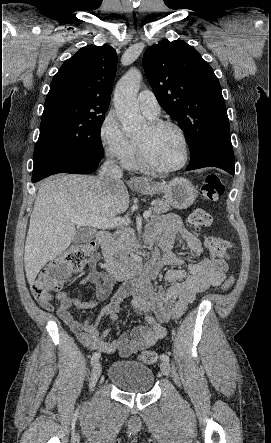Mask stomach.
I'll use <instances>...</instances> for the list:
<instances>
[{
    "label": "stomach",
    "instance_id": "0dacf381",
    "mask_svg": "<svg viewBox=\"0 0 271 443\" xmlns=\"http://www.w3.org/2000/svg\"><path fill=\"white\" fill-rule=\"evenodd\" d=\"M141 182L143 186L136 188L140 194H144V196L163 194V198L169 206L177 208V210H186L197 198L196 188L185 178H174L168 184L166 182H149V180H141Z\"/></svg>",
    "mask_w": 271,
    "mask_h": 443
}]
</instances>
